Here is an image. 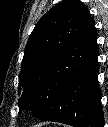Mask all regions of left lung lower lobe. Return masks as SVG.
I'll use <instances>...</instances> for the list:
<instances>
[{"instance_id":"0a47b994","label":"left lung lower lobe","mask_w":108,"mask_h":127,"mask_svg":"<svg viewBox=\"0 0 108 127\" xmlns=\"http://www.w3.org/2000/svg\"><path fill=\"white\" fill-rule=\"evenodd\" d=\"M96 38L97 29L87 12L68 53L61 58L65 70L56 94L39 117L74 127H104Z\"/></svg>"}]
</instances>
